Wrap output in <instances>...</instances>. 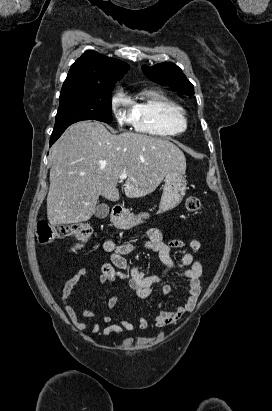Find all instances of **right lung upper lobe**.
I'll list each match as a JSON object with an SVG mask.
<instances>
[{
    "label": "right lung upper lobe",
    "instance_id": "1",
    "mask_svg": "<svg viewBox=\"0 0 272 411\" xmlns=\"http://www.w3.org/2000/svg\"><path fill=\"white\" fill-rule=\"evenodd\" d=\"M129 65L95 51H86L72 64L61 92L82 91L115 84L128 71Z\"/></svg>",
    "mask_w": 272,
    "mask_h": 411
}]
</instances>
